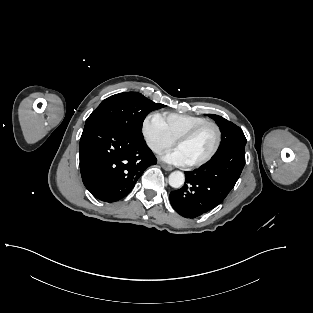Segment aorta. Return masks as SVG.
Masks as SVG:
<instances>
[{"instance_id": "aorta-1", "label": "aorta", "mask_w": 313, "mask_h": 313, "mask_svg": "<svg viewBox=\"0 0 313 313\" xmlns=\"http://www.w3.org/2000/svg\"><path fill=\"white\" fill-rule=\"evenodd\" d=\"M185 182L184 173L181 171H174L169 175V185L173 188H180Z\"/></svg>"}]
</instances>
